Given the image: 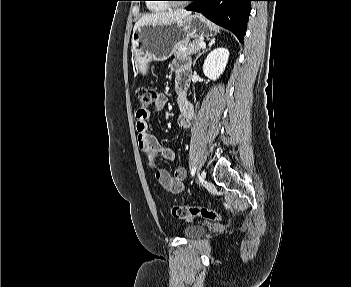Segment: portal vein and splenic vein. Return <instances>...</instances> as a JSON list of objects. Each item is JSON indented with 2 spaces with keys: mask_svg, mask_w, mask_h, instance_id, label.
Masks as SVG:
<instances>
[{
  "mask_svg": "<svg viewBox=\"0 0 351 287\" xmlns=\"http://www.w3.org/2000/svg\"><path fill=\"white\" fill-rule=\"evenodd\" d=\"M199 46H200L201 48H204V47H205V43L202 41V42L199 43Z\"/></svg>",
  "mask_w": 351,
  "mask_h": 287,
  "instance_id": "1",
  "label": "portal vein and splenic vein"
}]
</instances>
